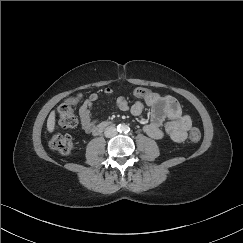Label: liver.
Here are the masks:
<instances>
[{
    "mask_svg": "<svg viewBox=\"0 0 243 243\" xmlns=\"http://www.w3.org/2000/svg\"><path fill=\"white\" fill-rule=\"evenodd\" d=\"M55 123H56V119H55V111H52L49 114V117L47 119V130L52 133L54 132L55 129Z\"/></svg>",
    "mask_w": 243,
    "mask_h": 243,
    "instance_id": "obj_1",
    "label": "liver"
}]
</instances>
